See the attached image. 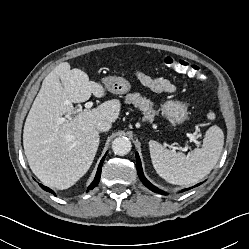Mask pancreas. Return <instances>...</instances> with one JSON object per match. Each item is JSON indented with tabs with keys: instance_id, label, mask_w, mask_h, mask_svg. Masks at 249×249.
<instances>
[{
	"instance_id": "obj_1",
	"label": "pancreas",
	"mask_w": 249,
	"mask_h": 249,
	"mask_svg": "<svg viewBox=\"0 0 249 249\" xmlns=\"http://www.w3.org/2000/svg\"><path fill=\"white\" fill-rule=\"evenodd\" d=\"M126 103H132L135 107H138L143 112L144 118L147 120L158 114V111H155L152 108L153 103L145 97H142L139 93L128 94L126 96Z\"/></svg>"
}]
</instances>
